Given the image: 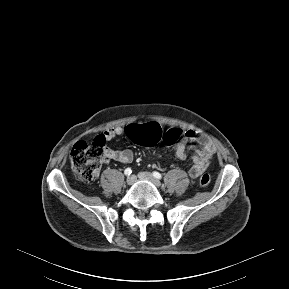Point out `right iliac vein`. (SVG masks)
Returning a JSON list of instances; mask_svg holds the SVG:
<instances>
[{
    "instance_id": "1",
    "label": "right iliac vein",
    "mask_w": 289,
    "mask_h": 289,
    "mask_svg": "<svg viewBox=\"0 0 289 289\" xmlns=\"http://www.w3.org/2000/svg\"><path fill=\"white\" fill-rule=\"evenodd\" d=\"M136 178L134 175L128 176L126 179L127 185H132L135 182Z\"/></svg>"
}]
</instances>
